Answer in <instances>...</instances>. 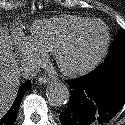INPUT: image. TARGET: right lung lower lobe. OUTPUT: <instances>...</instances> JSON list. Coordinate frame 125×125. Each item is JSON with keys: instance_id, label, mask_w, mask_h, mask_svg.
<instances>
[{"instance_id": "1", "label": "right lung lower lobe", "mask_w": 125, "mask_h": 125, "mask_svg": "<svg viewBox=\"0 0 125 125\" xmlns=\"http://www.w3.org/2000/svg\"><path fill=\"white\" fill-rule=\"evenodd\" d=\"M31 88V82L28 81L19 87L18 95L11 108L0 119V125H13L18 114V109L21 104L24 94Z\"/></svg>"}]
</instances>
